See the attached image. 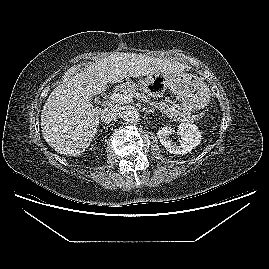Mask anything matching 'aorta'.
<instances>
[{"label":"aorta","instance_id":"obj_1","mask_svg":"<svg viewBox=\"0 0 269 269\" xmlns=\"http://www.w3.org/2000/svg\"><path fill=\"white\" fill-rule=\"evenodd\" d=\"M123 120L127 123H135L140 120V113L136 109H128L123 114Z\"/></svg>","mask_w":269,"mask_h":269}]
</instances>
